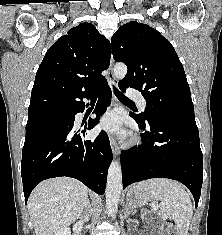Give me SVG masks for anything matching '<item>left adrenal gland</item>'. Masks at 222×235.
Segmentation results:
<instances>
[{"label": "left adrenal gland", "instance_id": "1", "mask_svg": "<svg viewBox=\"0 0 222 235\" xmlns=\"http://www.w3.org/2000/svg\"><path fill=\"white\" fill-rule=\"evenodd\" d=\"M125 210H126V211H125L126 214L129 215V214H130V211H129V206H128V205H126Z\"/></svg>", "mask_w": 222, "mask_h": 235}]
</instances>
